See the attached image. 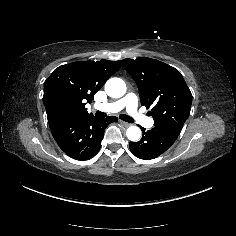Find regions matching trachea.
Returning <instances> with one entry per match:
<instances>
[{
	"label": "trachea",
	"instance_id": "3493384b",
	"mask_svg": "<svg viewBox=\"0 0 236 236\" xmlns=\"http://www.w3.org/2000/svg\"><path fill=\"white\" fill-rule=\"evenodd\" d=\"M95 114H96L97 117H100V118H103L107 115L105 112H101V111H96ZM119 118L123 121L128 122V123L133 122V118H131L130 116L125 115V114H120Z\"/></svg>",
	"mask_w": 236,
	"mask_h": 236
}]
</instances>
